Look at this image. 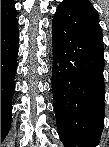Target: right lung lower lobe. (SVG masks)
Wrapping results in <instances>:
<instances>
[{"label":"right lung lower lobe","mask_w":109,"mask_h":147,"mask_svg":"<svg viewBox=\"0 0 109 147\" xmlns=\"http://www.w3.org/2000/svg\"><path fill=\"white\" fill-rule=\"evenodd\" d=\"M17 56L18 22L15 16L1 24V141L10 129Z\"/></svg>","instance_id":"obj_1"}]
</instances>
